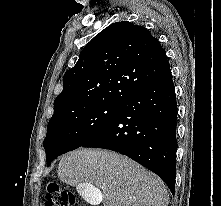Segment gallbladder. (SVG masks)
Returning a JSON list of instances; mask_svg holds the SVG:
<instances>
[{"label": "gallbladder", "instance_id": "obj_1", "mask_svg": "<svg viewBox=\"0 0 221 206\" xmlns=\"http://www.w3.org/2000/svg\"><path fill=\"white\" fill-rule=\"evenodd\" d=\"M79 194H82V198H85L88 205L98 206L104 201V193H99L96 185H85L84 181L80 182Z\"/></svg>", "mask_w": 221, "mask_h": 206}]
</instances>
